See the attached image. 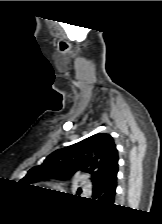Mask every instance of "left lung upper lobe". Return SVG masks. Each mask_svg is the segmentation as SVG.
<instances>
[{
	"instance_id": "1",
	"label": "left lung upper lobe",
	"mask_w": 162,
	"mask_h": 224,
	"mask_svg": "<svg viewBox=\"0 0 162 224\" xmlns=\"http://www.w3.org/2000/svg\"><path fill=\"white\" fill-rule=\"evenodd\" d=\"M118 152L108 134H95L51 153L44 162L28 171L23 184L72 176L77 171L91 174L93 187L100 186L118 170Z\"/></svg>"
}]
</instances>
